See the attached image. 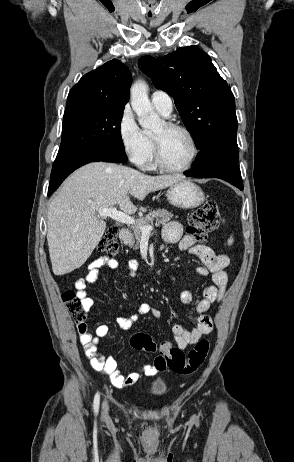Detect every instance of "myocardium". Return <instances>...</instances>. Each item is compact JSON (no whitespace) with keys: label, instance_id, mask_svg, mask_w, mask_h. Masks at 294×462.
<instances>
[{"label":"myocardium","instance_id":"myocardium-1","mask_svg":"<svg viewBox=\"0 0 294 462\" xmlns=\"http://www.w3.org/2000/svg\"><path fill=\"white\" fill-rule=\"evenodd\" d=\"M163 124L166 127V129H168V130H180V131L184 132L188 136V138H189V140L191 142V145H192V154H191V157H190L189 161L184 166L172 167V166L168 165L165 162L164 158H163L162 144H161L160 138L153 135L152 136V141H153V147H154L155 165L159 169H161V170H163L165 172H169V173H181V172H185V171L189 170L194 165V163L196 162V160H197V158L199 156V152H200L199 144H198V141H197L194 133L187 126H185L183 124H180V123H176V122H172V121H166Z\"/></svg>","mask_w":294,"mask_h":462}]
</instances>
